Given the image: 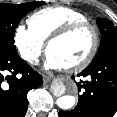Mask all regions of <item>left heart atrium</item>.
<instances>
[{"label": "left heart atrium", "instance_id": "left-heart-atrium-1", "mask_svg": "<svg viewBox=\"0 0 117 117\" xmlns=\"http://www.w3.org/2000/svg\"><path fill=\"white\" fill-rule=\"evenodd\" d=\"M45 68L47 70H62L65 69L66 66L54 56L48 54L45 63Z\"/></svg>", "mask_w": 117, "mask_h": 117}]
</instances>
